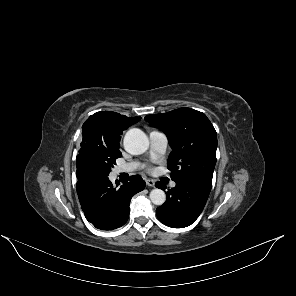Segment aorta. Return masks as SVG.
Returning <instances> with one entry per match:
<instances>
[{
    "label": "aorta",
    "mask_w": 296,
    "mask_h": 296,
    "mask_svg": "<svg viewBox=\"0 0 296 296\" xmlns=\"http://www.w3.org/2000/svg\"><path fill=\"white\" fill-rule=\"evenodd\" d=\"M149 147L147 135L138 128L127 131L124 137V148L133 155L144 153ZM150 200L154 205H162L166 200V194L163 190L155 188L150 192Z\"/></svg>",
    "instance_id": "1"
}]
</instances>
